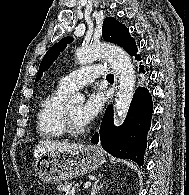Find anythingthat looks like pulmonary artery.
Instances as JSON below:
<instances>
[{
    "label": "pulmonary artery",
    "mask_w": 189,
    "mask_h": 195,
    "mask_svg": "<svg viewBox=\"0 0 189 195\" xmlns=\"http://www.w3.org/2000/svg\"><path fill=\"white\" fill-rule=\"evenodd\" d=\"M105 77V68L102 65H90L76 69L63 77L59 86L64 90L72 92L87 86L97 78Z\"/></svg>",
    "instance_id": "1"
}]
</instances>
